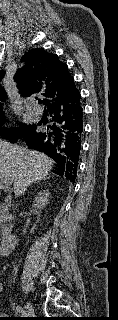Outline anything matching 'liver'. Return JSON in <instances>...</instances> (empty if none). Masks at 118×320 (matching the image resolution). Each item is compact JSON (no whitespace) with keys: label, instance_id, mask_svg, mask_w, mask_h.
<instances>
[{"label":"liver","instance_id":"6515ba94","mask_svg":"<svg viewBox=\"0 0 118 320\" xmlns=\"http://www.w3.org/2000/svg\"><path fill=\"white\" fill-rule=\"evenodd\" d=\"M53 164L54 161L44 153L0 140V180L8 179L13 183L16 197L21 196L31 183L45 178Z\"/></svg>","mask_w":118,"mask_h":320}]
</instances>
